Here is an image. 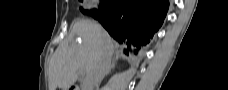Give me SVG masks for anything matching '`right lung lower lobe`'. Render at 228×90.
I'll return each instance as SVG.
<instances>
[{
	"instance_id": "1",
	"label": "right lung lower lobe",
	"mask_w": 228,
	"mask_h": 90,
	"mask_svg": "<svg viewBox=\"0 0 228 90\" xmlns=\"http://www.w3.org/2000/svg\"><path fill=\"white\" fill-rule=\"evenodd\" d=\"M107 5L91 14L123 47L136 55L161 27L168 0H106Z\"/></svg>"
}]
</instances>
